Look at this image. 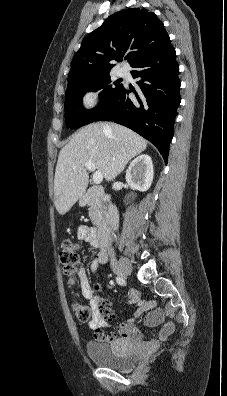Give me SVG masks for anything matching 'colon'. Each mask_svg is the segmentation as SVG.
<instances>
[{
	"label": "colon",
	"mask_w": 227,
	"mask_h": 396,
	"mask_svg": "<svg viewBox=\"0 0 227 396\" xmlns=\"http://www.w3.org/2000/svg\"><path fill=\"white\" fill-rule=\"evenodd\" d=\"M59 258L64 274L72 283L76 266L79 262L78 246L70 240L64 241ZM73 311L77 319L81 322H88L91 319V309L84 303L75 302L73 304Z\"/></svg>",
	"instance_id": "1"
}]
</instances>
